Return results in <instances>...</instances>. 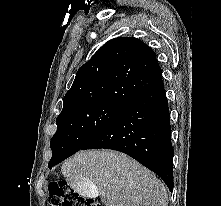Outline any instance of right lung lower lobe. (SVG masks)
Wrapping results in <instances>:
<instances>
[{"label":"right lung lower lobe","mask_w":221,"mask_h":206,"mask_svg":"<svg viewBox=\"0 0 221 206\" xmlns=\"http://www.w3.org/2000/svg\"><path fill=\"white\" fill-rule=\"evenodd\" d=\"M121 151L159 175L173 190L171 127L161 80L128 105L84 149Z\"/></svg>","instance_id":"98d812e1"}]
</instances>
